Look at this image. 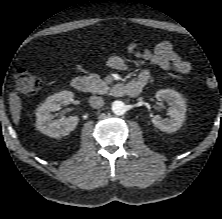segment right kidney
<instances>
[{"label": "right kidney", "mask_w": 222, "mask_h": 219, "mask_svg": "<svg viewBox=\"0 0 222 219\" xmlns=\"http://www.w3.org/2000/svg\"><path fill=\"white\" fill-rule=\"evenodd\" d=\"M74 94L70 91L55 93L36 110V127L37 129L52 138H59L68 135L78 125V116H71L61 120H54L52 112L61 109L63 104L73 100Z\"/></svg>", "instance_id": "right-kidney-1"}]
</instances>
